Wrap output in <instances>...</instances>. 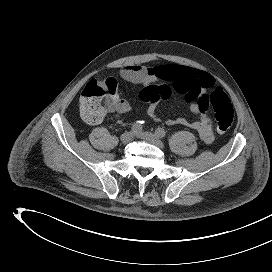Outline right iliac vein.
<instances>
[{"label":"right iliac vein","instance_id":"63e3f726","mask_svg":"<svg viewBox=\"0 0 272 272\" xmlns=\"http://www.w3.org/2000/svg\"><path fill=\"white\" fill-rule=\"evenodd\" d=\"M133 139V133L132 132H125L121 135L120 140L123 144H128Z\"/></svg>","mask_w":272,"mask_h":272}]
</instances>
